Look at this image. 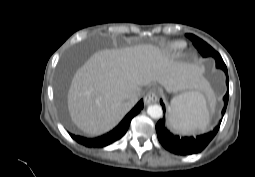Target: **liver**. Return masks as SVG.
<instances>
[{"mask_svg": "<svg viewBox=\"0 0 255 177\" xmlns=\"http://www.w3.org/2000/svg\"><path fill=\"white\" fill-rule=\"evenodd\" d=\"M153 82L169 93L208 87L198 68L173 61L156 46L104 49L73 76L67 94L71 119L90 136L104 134L131 110L129 97Z\"/></svg>", "mask_w": 255, "mask_h": 177, "instance_id": "obj_1", "label": "liver"}]
</instances>
